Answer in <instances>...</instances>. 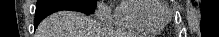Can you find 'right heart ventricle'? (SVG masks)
Wrapping results in <instances>:
<instances>
[{
    "instance_id": "obj_1",
    "label": "right heart ventricle",
    "mask_w": 219,
    "mask_h": 37,
    "mask_svg": "<svg viewBox=\"0 0 219 37\" xmlns=\"http://www.w3.org/2000/svg\"><path fill=\"white\" fill-rule=\"evenodd\" d=\"M154 0H122L115 8L112 23L115 27L148 34H158L163 23L153 14L160 8Z\"/></svg>"
}]
</instances>
